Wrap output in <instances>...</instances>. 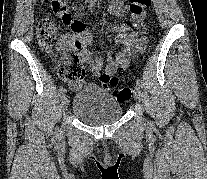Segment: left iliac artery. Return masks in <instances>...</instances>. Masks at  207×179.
I'll return each instance as SVG.
<instances>
[{
	"mask_svg": "<svg viewBox=\"0 0 207 179\" xmlns=\"http://www.w3.org/2000/svg\"><path fill=\"white\" fill-rule=\"evenodd\" d=\"M136 85L142 88V80L141 79H137L136 80Z\"/></svg>",
	"mask_w": 207,
	"mask_h": 179,
	"instance_id": "obj_1",
	"label": "left iliac artery"
}]
</instances>
